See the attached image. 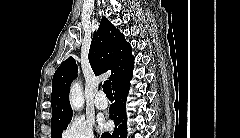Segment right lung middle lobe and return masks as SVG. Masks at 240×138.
I'll use <instances>...</instances> for the list:
<instances>
[{"instance_id": "obj_1", "label": "right lung middle lobe", "mask_w": 240, "mask_h": 138, "mask_svg": "<svg viewBox=\"0 0 240 138\" xmlns=\"http://www.w3.org/2000/svg\"><path fill=\"white\" fill-rule=\"evenodd\" d=\"M70 121L51 126V138H61L63 129L69 124Z\"/></svg>"}]
</instances>
